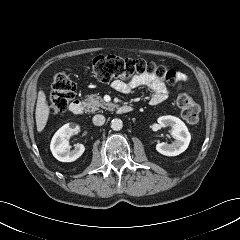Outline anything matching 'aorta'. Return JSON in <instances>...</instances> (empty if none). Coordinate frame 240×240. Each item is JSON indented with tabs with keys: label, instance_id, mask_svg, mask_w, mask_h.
Returning a JSON list of instances; mask_svg holds the SVG:
<instances>
[{
	"label": "aorta",
	"instance_id": "762f6f07",
	"mask_svg": "<svg viewBox=\"0 0 240 240\" xmlns=\"http://www.w3.org/2000/svg\"><path fill=\"white\" fill-rule=\"evenodd\" d=\"M122 127H123V122L121 119L115 118L111 121V128L114 131H119L122 129Z\"/></svg>",
	"mask_w": 240,
	"mask_h": 240
}]
</instances>
